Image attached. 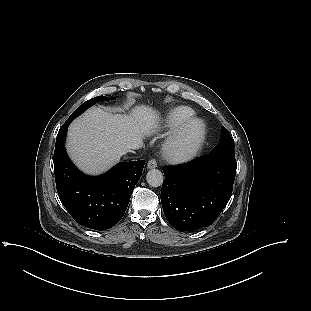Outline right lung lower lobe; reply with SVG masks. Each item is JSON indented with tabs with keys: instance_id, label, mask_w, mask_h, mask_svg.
Returning <instances> with one entry per match:
<instances>
[{
	"instance_id": "right-lung-lower-lobe-1",
	"label": "right lung lower lobe",
	"mask_w": 311,
	"mask_h": 311,
	"mask_svg": "<svg viewBox=\"0 0 311 311\" xmlns=\"http://www.w3.org/2000/svg\"><path fill=\"white\" fill-rule=\"evenodd\" d=\"M70 122L63 124L56 138L54 173L59 197L77 223L109 229L123 217L145 161L119 163L99 177L84 175L66 154L64 141Z\"/></svg>"
}]
</instances>
